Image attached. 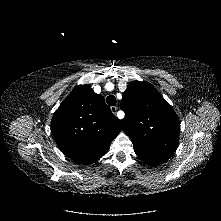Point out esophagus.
Returning <instances> with one entry per match:
<instances>
[{
  "label": "esophagus",
  "mask_w": 221,
  "mask_h": 221,
  "mask_svg": "<svg viewBox=\"0 0 221 221\" xmlns=\"http://www.w3.org/2000/svg\"><path fill=\"white\" fill-rule=\"evenodd\" d=\"M117 110H118V107L117 106H112L111 107V111L113 114H116L117 113Z\"/></svg>",
  "instance_id": "esophagus-1"
}]
</instances>
